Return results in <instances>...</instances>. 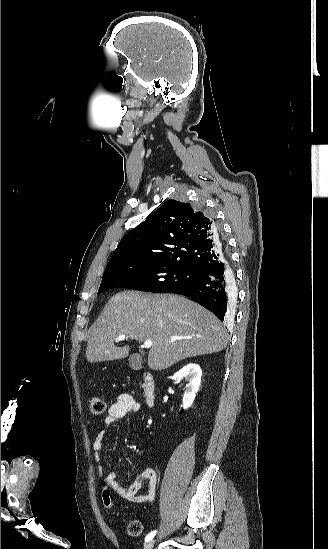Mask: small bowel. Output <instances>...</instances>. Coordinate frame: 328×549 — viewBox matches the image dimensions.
I'll return each instance as SVG.
<instances>
[{
	"instance_id": "c3829d8e",
	"label": "small bowel",
	"mask_w": 328,
	"mask_h": 549,
	"mask_svg": "<svg viewBox=\"0 0 328 549\" xmlns=\"http://www.w3.org/2000/svg\"><path fill=\"white\" fill-rule=\"evenodd\" d=\"M140 405L136 400L127 393L118 395L115 402L109 407L105 418L107 426L123 419L129 413L139 411ZM107 436V430L101 429L93 442L94 460L100 463L102 460L101 449ZM97 473L103 477L106 486L111 488L116 494L131 503L152 502L156 495L157 474L156 471L149 467L144 470L140 479L128 486H122L119 482V476L115 472L106 473L102 465H98ZM146 487L147 492L142 494V489Z\"/></svg>"
}]
</instances>
